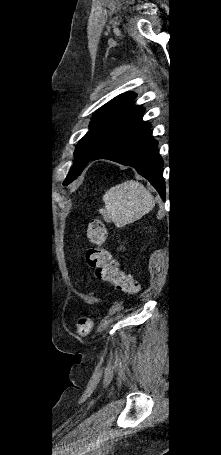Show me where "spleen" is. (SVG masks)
I'll return each instance as SVG.
<instances>
[{"label":"spleen","instance_id":"spleen-1","mask_svg":"<svg viewBox=\"0 0 221 455\" xmlns=\"http://www.w3.org/2000/svg\"><path fill=\"white\" fill-rule=\"evenodd\" d=\"M103 201L105 209L99 212L118 227L140 219L155 205L152 194L134 180L111 187L103 195Z\"/></svg>","mask_w":221,"mask_h":455}]
</instances>
